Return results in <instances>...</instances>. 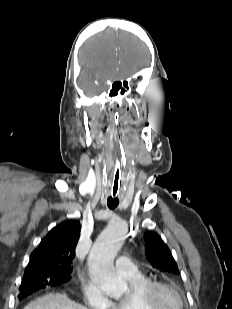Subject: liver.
Listing matches in <instances>:
<instances>
[{
  "mask_svg": "<svg viewBox=\"0 0 232 309\" xmlns=\"http://www.w3.org/2000/svg\"><path fill=\"white\" fill-rule=\"evenodd\" d=\"M24 309H88L69 299L65 294L49 293L24 307Z\"/></svg>",
  "mask_w": 232,
  "mask_h": 309,
  "instance_id": "1",
  "label": "liver"
}]
</instances>
